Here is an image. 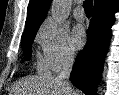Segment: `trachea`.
I'll return each instance as SVG.
<instances>
[{"label": "trachea", "mask_w": 119, "mask_h": 95, "mask_svg": "<svg viewBox=\"0 0 119 95\" xmlns=\"http://www.w3.org/2000/svg\"><path fill=\"white\" fill-rule=\"evenodd\" d=\"M92 0H85L83 2V8L85 10L86 15H92Z\"/></svg>", "instance_id": "trachea-1"}]
</instances>
